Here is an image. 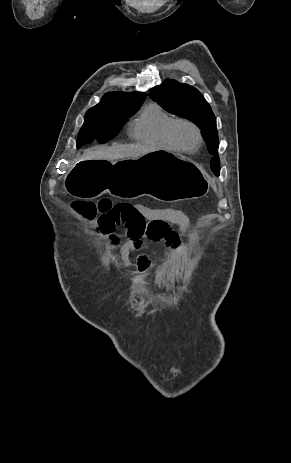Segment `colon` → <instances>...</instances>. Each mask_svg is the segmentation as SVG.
Wrapping results in <instances>:
<instances>
[{
	"mask_svg": "<svg viewBox=\"0 0 291 463\" xmlns=\"http://www.w3.org/2000/svg\"><path fill=\"white\" fill-rule=\"evenodd\" d=\"M73 208L83 215L94 218L103 216L104 220L98 222L100 229H113L115 224L124 222L126 214L131 210V205L125 203H113L108 198H102L97 203L76 200Z\"/></svg>",
	"mask_w": 291,
	"mask_h": 463,
	"instance_id": "colon-1",
	"label": "colon"
}]
</instances>
